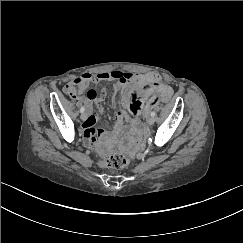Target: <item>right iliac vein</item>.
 <instances>
[{
	"label": "right iliac vein",
	"instance_id": "obj_1",
	"mask_svg": "<svg viewBox=\"0 0 243 243\" xmlns=\"http://www.w3.org/2000/svg\"><path fill=\"white\" fill-rule=\"evenodd\" d=\"M80 118H81L82 120H85V119H86V113L83 112V113L81 114Z\"/></svg>",
	"mask_w": 243,
	"mask_h": 243
}]
</instances>
